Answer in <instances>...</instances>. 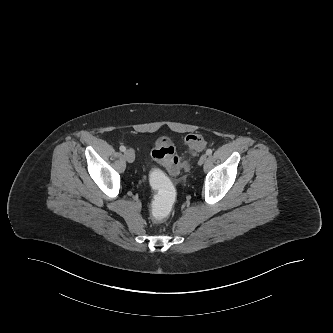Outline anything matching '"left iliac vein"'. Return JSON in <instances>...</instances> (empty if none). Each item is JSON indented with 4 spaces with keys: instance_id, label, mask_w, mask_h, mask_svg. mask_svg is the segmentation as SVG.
<instances>
[{
    "instance_id": "left-iliac-vein-1",
    "label": "left iliac vein",
    "mask_w": 333,
    "mask_h": 333,
    "mask_svg": "<svg viewBox=\"0 0 333 333\" xmlns=\"http://www.w3.org/2000/svg\"><path fill=\"white\" fill-rule=\"evenodd\" d=\"M207 160V155H202L198 161L199 165H202Z\"/></svg>"
}]
</instances>
